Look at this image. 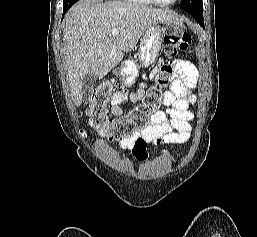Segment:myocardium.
Segmentation results:
<instances>
[{"instance_id": "f54148a6", "label": "myocardium", "mask_w": 257, "mask_h": 237, "mask_svg": "<svg viewBox=\"0 0 257 237\" xmlns=\"http://www.w3.org/2000/svg\"><path fill=\"white\" fill-rule=\"evenodd\" d=\"M151 1L153 3L161 5V6H171V5L176 4L179 0H172L170 2H164V1H161V0H151Z\"/></svg>"}]
</instances>
